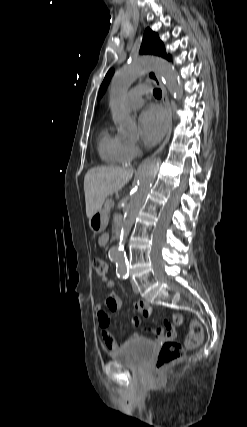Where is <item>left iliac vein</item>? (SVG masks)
I'll list each match as a JSON object with an SVG mask.
<instances>
[{
  "label": "left iliac vein",
  "instance_id": "4c4485c4",
  "mask_svg": "<svg viewBox=\"0 0 247 427\" xmlns=\"http://www.w3.org/2000/svg\"><path fill=\"white\" fill-rule=\"evenodd\" d=\"M132 289H133L134 293H136V294L139 293V288L134 281H132Z\"/></svg>",
  "mask_w": 247,
  "mask_h": 427
}]
</instances>
